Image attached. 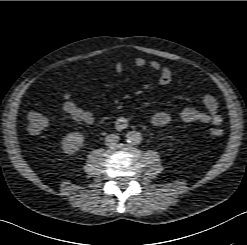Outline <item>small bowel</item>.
<instances>
[{
	"instance_id": "obj_1",
	"label": "small bowel",
	"mask_w": 247,
	"mask_h": 245,
	"mask_svg": "<svg viewBox=\"0 0 247 245\" xmlns=\"http://www.w3.org/2000/svg\"><path fill=\"white\" fill-rule=\"evenodd\" d=\"M135 65L140 68L149 67L151 70L159 73V82L161 85H168L172 81V71L168 67H163L158 61H147L143 58H136ZM115 71L118 75L123 72V65L118 62L115 65ZM203 105L206 111H201L193 107L184 108L180 112V118L186 123L201 122L211 123L218 126L223 119L218 113V102L216 98L210 94L203 97ZM63 111L68 114L73 120L83 122L85 124H92L94 122V115L92 112L85 110L72 101V94L65 92L63 94ZM151 122L156 127L167 126L171 122V116L167 112H157L152 118Z\"/></svg>"
}]
</instances>
